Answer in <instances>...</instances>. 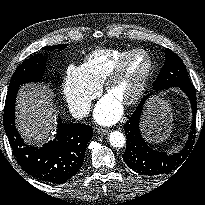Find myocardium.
Here are the masks:
<instances>
[{"label": "myocardium", "instance_id": "1", "mask_svg": "<svg viewBox=\"0 0 205 205\" xmlns=\"http://www.w3.org/2000/svg\"><path fill=\"white\" fill-rule=\"evenodd\" d=\"M145 54L147 56L148 59V65L147 68L141 78V81L139 82L137 88L135 89V91L132 93V95L125 99L122 100L121 103L125 106H130L133 104H136L141 97L143 96L144 92L146 91V88L148 86L152 71H153V66H154V62H153V58L150 55V53L145 50V49H133L131 51H129L127 54H125L118 62L117 64L114 66V68L112 69V71L109 73V75L107 76V78L105 79V81L103 82V90L106 94H109L112 85L118 81L121 76L124 73L125 67L128 63V61L135 56L136 54Z\"/></svg>", "mask_w": 205, "mask_h": 205}]
</instances>
